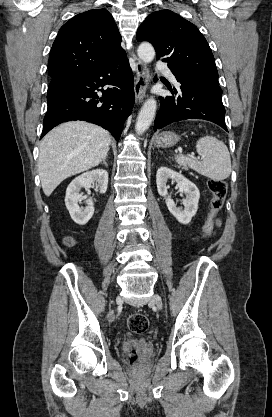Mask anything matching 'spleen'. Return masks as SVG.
I'll use <instances>...</instances> for the list:
<instances>
[{"mask_svg":"<svg viewBox=\"0 0 272 417\" xmlns=\"http://www.w3.org/2000/svg\"><path fill=\"white\" fill-rule=\"evenodd\" d=\"M196 151L202 157L201 161L177 155L176 162L214 181H222L230 176V153L222 141L212 136H204L197 141Z\"/></svg>","mask_w":272,"mask_h":417,"instance_id":"3e777b00","label":"spleen"}]
</instances>
